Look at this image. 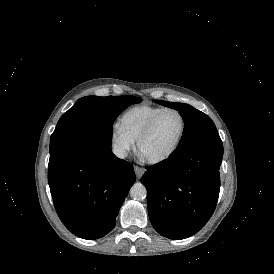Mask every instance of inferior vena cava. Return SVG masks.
<instances>
[{
	"instance_id": "1",
	"label": "inferior vena cava",
	"mask_w": 274,
	"mask_h": 274,
	"mask_svg": "<svg viewBox=\"0 0 274 274\" xmlns=\"http://www.w3.org/2000/svg\"><path fill=\"white\" fill-rule=\"evenodd\" d=\"M113 153L115 154L116 157L121 158V159H123L127 156L126 150L120 146L114 147Z\"/></svg>"
}]
</instances>
